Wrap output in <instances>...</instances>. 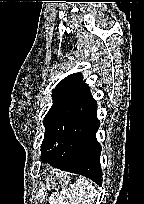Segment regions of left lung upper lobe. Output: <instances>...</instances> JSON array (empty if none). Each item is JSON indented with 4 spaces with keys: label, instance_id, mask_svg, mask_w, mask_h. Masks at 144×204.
<instances>
[{
    "label": "left lung upper lobe",
    "instance_id": "obj_1",
    "mask_svg": "<svg viewBox=\"0 0 144 204\" xmlns=\"http://www.w3.org/2000/svg\"><path fill=\"white\" fill-rule=\"evenodd\" d=\"M89 89L83 82L81 73L71 74L57 84L52 91L53 105L43 122L46 131L41 146V156L64 139L68 133V124L86 100Z\"/></svg>",
    "mask_w": 144,
    "mask_h": 204
}]
</instances>
